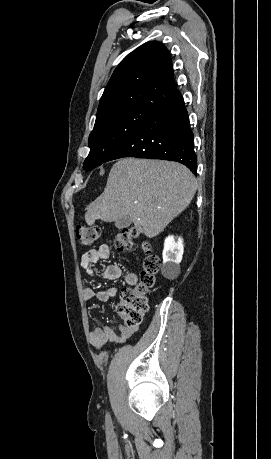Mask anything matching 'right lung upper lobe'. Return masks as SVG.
<instances>
[{
	"instance_id": "obj_1",
	"label": "right lung upper lobe",
	"mask_w": 271,
	"mask_h": 459,
	"mask_svg": "<svg viewBox=\"0 0 271 459\" xmlns=\"http://www.w3.org/2000/svg\"><path fill=\"white\" fill-rule=\"evenodd\" d=\"M179 95L168 50L150 41L131 52L115 69L102 95L97 118L133 108L158 112Z\"/></svg>"
}]
</instances>
